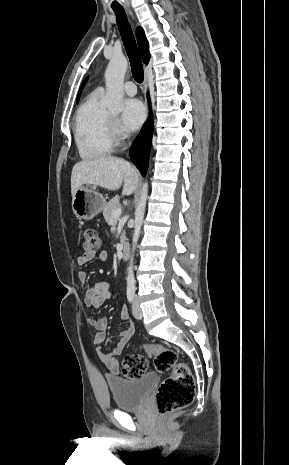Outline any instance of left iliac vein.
I'll return each instance as SVG.
<instances>
[{
    "instance_id": "obj_1",
    "label": "left iliac vein",
    "mask_w": 289,
    "mask_h": 465,
    "mask_svg": "<svg viewBox=\"0 0 289 465\" xmlns=\"http://www.w3.org/2000/svg\"><path fill=\"white\" fill-rule=\"evenodd\" d=\"M132 313H133V316L136 319H141L142 318V310H141V308L139 306V301H138L137 297H135L134 301H133Z\"/></svg>"
}]
</instances>
